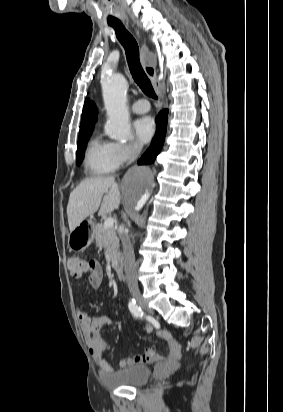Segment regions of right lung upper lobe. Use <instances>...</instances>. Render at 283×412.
<instances>
[{"label":"right lung upper lobe","instance_id":"cb5924a9","mask_svg":"<svg viewBox=\"0 0 283 412\" xmlns=\"http://www.w3.org/2000/svg\"><path fill=\"white\" fill-rule=\"evenodd\" d=\"M96 120H97L96 106L94 105V103L90 102L89 99H86L84 107H83L79 136H82L87 133H91Z\"/></svg>","mask_w":283,"mask_h":412}]
</instances>
